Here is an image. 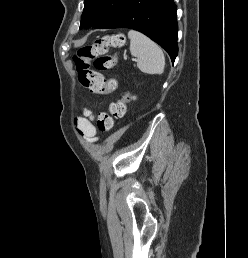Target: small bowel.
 I'll return each instance as SVG.
<instances>
[{
    "instance_id": "obj_1",
    "label": "small bowel",
    "mask_w": 248,
    "mask_h": 258,
    "mask_svg": "<svg viewBox=\"0 0 248 258\" xmlns=\"http://www.w3.org/2000/svg\"><path fill=\"white\" fill-rule=\"evenodd\" d=\"M92 111L85 109L83 111V117H79L75 120V125L78 133L89 143L96 142L98 140L97 130L93 124Z\"/></svg>"
}]
</instances>
